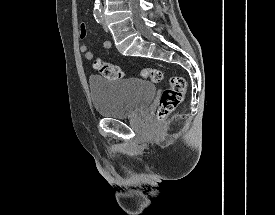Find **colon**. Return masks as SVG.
<instances>
[{"mask_svg":"<svg viewBox=\"0 0 275 215\" xmlns=\"http://www.w3.org/2000/svg\"><path fill=\"white\" fill-rule=\"evenodd\" d=\"M94 67L99 71L102 77L106 79L116 80L122 76V69L119 66L101 59L95 60ZM141 77L153 83H159L163 78L162 72L155 68H146L142 70ZM185 91V80L182 77L172 76L169 79V86L164 89L160 95L156 113L157 120H164L172 111H174L183 100Z\"/></svg>","mask_w":275,"mask_h":215,"instance_id":"1","label":"colon"}]
</instances>
